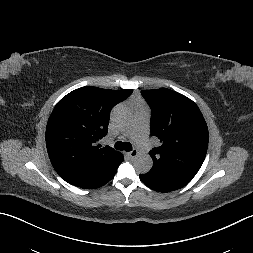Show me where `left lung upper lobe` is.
<instances>
[{"instance_id": "left-lung-upper-lobe-1", "label": "left lung upper lobe", "mask_w": 253, "mask_h": 253, "mask_svg": "<svg viewBox=\"0 0 253 253\" xmlns=\"http://www.w3.org/2000/svg\"><path fill=\"white\" fill-rule=\"evenodd\" d=\"M141 94L152 114L150 130L161 144L153 148L151 171L192 180L205 159L208 128L198 106L186 96L162 88Z\"/></svg>"}]
</instances>
